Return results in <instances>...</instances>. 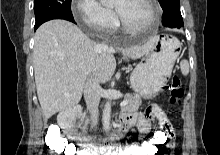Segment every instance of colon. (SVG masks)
Instances as JSON below:
<instances>
[{"instance_id":"1","label":"colon","mask_w":220,"mask_h":155,"mask_svg":"<svg viewBox=\"0 0 220 155\" xmlns=\"http://www.w3.org/2000/svg\"><path fill=\"white\" fill-rule=\"evenodd\" d=\"M170 92V103L180 104L184 95V89L182 87L181 80L178 76H174L168 86ZM161 123L151 125L150 135L147 142H136L135 146L138 151H145L146 155H155L159 144H168V136L166 129H161ZM50 142L49 146H46L48 155H83L82 152H77L76 148H79V143H65L60 133L57 130H53L49 134ZM172 145H166L164 148L159 149V155H173Z\"/></svg>"}]
</instances>
